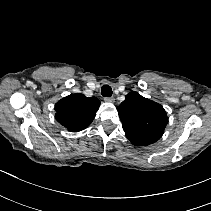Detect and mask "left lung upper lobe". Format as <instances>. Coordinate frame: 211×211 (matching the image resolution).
<instances>
[{"label": "left lung upper lobe", "mask_w": 211, "mask_h": 211, "mask_svg": "<svg viewBox=\"0 0 211 211\" xmlns=\"http://www.w3.org/2000/svg\"><path fill=\"white\" fill-rule=\"evenodd\" d=\"M123 130L135 146L155 143L164 133L168 117L164 108L137 92H130L117 107Z\"/></svg>", "instance_id": "5c2ea615"}]
</instances>
